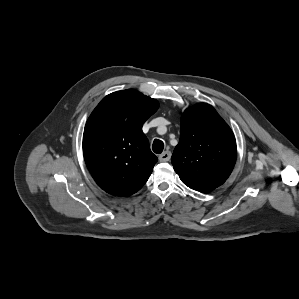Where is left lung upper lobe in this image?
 <instances>
[{"label":"left lung upper lobe","mask_w":299,"mask_h":299,"mask_svg":"<svg viewBox=\"0 0 299 299\" xmlns=\"http://www.w3.org/2000/svg\"><path fill=\"white\" fill-rule=\"evenodd\" d=\"M236 157L234 134L212 106L200 103L183 114L171 160L185 185L199 192L217 188L231 174Z\"/></svg>","instance_id":"obj_1"}]
</instances>
